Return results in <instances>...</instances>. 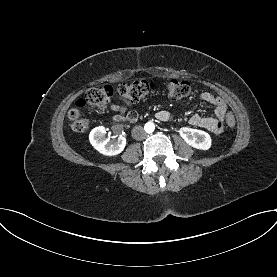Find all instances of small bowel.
<instances>
[{"instance_id":"1","label":"small bowel","mask_w":277,"mask_h":277,"mask_svg":"<svg viewBox=\"0 0 277 277\" xmlns=\"http://www.w3.org/2000/svg\"><path fill=\"white\" fill-rule=\"evenodd\" d=\"M201 99L214 107L215 117H204L198 114H194L190 117L189 123L193 126H198L204 128L214 134H220L224 129V116L228 111L226 102L218 97L213 95L210 92H204L201 95ZM111 111L115 114L112 119L116 122L119 121H128L134 122L137 119V113L132 110H127L126 106L120 104H112L110 106ZM171 117L170 112L166 110L159 111L156 114V118L160 121H168ZM228 124V123H227Z\"/></svg>"}]
</instances>
